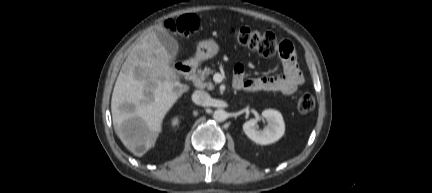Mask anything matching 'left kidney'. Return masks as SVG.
I'll list each match as a JSON object with an SVG mask.
<instances>
[{"label":"left kidney","instance_id":"1","mask_svg":"<svg viewBox=\"0 0 432 193\" xmlns=\"http://www.w3.org/2000/svg\"><path fill=\"white\" fill-rule=\"evenodd\" d=\"M262 116L267 120L268 126L264 130H257L256 119H250L243 124V131L257 144L268 145L278 141L285 132L284 120L281 113L274 109H266Z\"/></svg>","mask_w":432,"mask_h":193}]
</instances>
